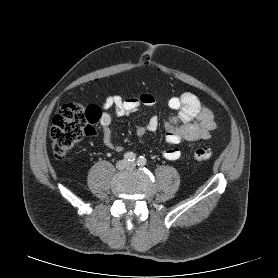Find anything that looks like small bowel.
Returning <instances> with one entry per match:
<instances>
[{
	"mask_svg": "<svg viewBox=\"0 0 278 278\" xmlns=\"http://www.w3.org/2000/svg\"><path fill=\"white\" fill-rule=\"evenodd\" d=\"M155 103L156 99L150 93H141L130 98L109 96L103 103L104 112L100 118L104 144L116 152L123 150L121 145L112 141L111 111L116 116L128 117L135 114L141 106H153ZM168 106L176 113L165 124V141L169 147L163 151V156L168 160H177L181 157V150L177 147L181 141L209 139L218 123L213 111L191 92L171 96ZM159 125L158 117L153 116L145 124L137 126V136L142 139L147 132H155Z\"/></svg>",
	"mask_w": 278,
	"mask_h": 278,
	"instance_id": "c3829d8e",
	"label": "small bowel"
}]
</instances>
